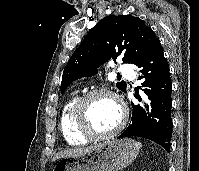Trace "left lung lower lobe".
I'll use <instances>...</instances> for the list:
<instances>
[{"label":"left lung lower lobe","mask_w":199,"mask_h":171,"mask_svg":"<svg viewBox=\"0 0 199 171\" xmlns=\"http://www.w3.org/2000/svg\"><path fill=\"white\" fill-rule=\"evenodd\" d=\"M137 66L140 68L139 79L144 81L141 86L135 88V97L142 103H132L131 122L118 138H146L170 152L172 83L169 65L159 39Z\"/></svg>","instance_id":"1"}]
</instances>
